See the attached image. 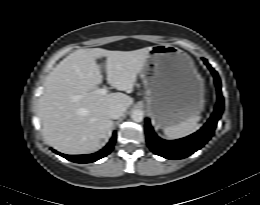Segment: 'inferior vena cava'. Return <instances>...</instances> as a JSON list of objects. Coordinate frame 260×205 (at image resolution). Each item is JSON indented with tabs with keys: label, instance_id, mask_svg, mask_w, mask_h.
I'll list each match as a JSON object with an SVG mask.
<instances>
[{
	"label": "inferior vena cava",
	"instance_id": "inferior-vena-cava-1",
	"mask_svg": "<svg viewBox=\"0 0 260 205\" xmlns=\"http://www.w3.org/2000/svg\"><path fill=\"white\" fill-rule=\"evenodd\" d=\"M125 110H126L125 107H123L121 105H116L109 109L108 115L111 119H118L119 117H121L123 115Z\"/></svg>",
	"mask_w": 260,
	"mask_h": 205
}]
</instances>
